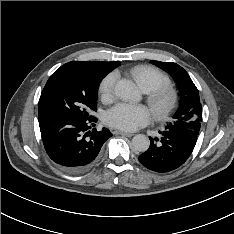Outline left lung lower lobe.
Wrapping results in <instances>:
<instances>
[{
	"label": "left lung lower lobe",
	"instance_id": "1",
	"mask_svg": "<svg viewBox=\"0 0 234 234\" xmlns=\"http://www.w3.org/2000/svg\"><path fill=\"white\" fill-rule=\"evenodd\" d=\"M159 133L160 142L150 137V147L139 156V161L152 171L164 173L180 167L191 155L197 140L181 131L165 129Z\"/></svg>",
	"mask_w": 234,
	"mask_h": 234
}]
</instances>
